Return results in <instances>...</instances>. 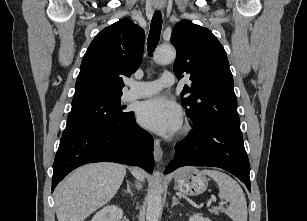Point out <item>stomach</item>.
I'll return each instance as SVG.
<instances>
[{"instance_id": "obj_1", "label": "stomach", "mask_w": 307, "mask_h": 221, "mask_svg": "<svg viewBox=\"0 0 307 221\" xmlns=\"http://www.w3.org/2000/svg\"><path fill=\"white\" fill-rule=\"evenodd\" d=\"M176 188L184 194L196 196L202 194L208 187V178L202 171L185 167L175 175Z\"/></svg>"}]
</instances>
